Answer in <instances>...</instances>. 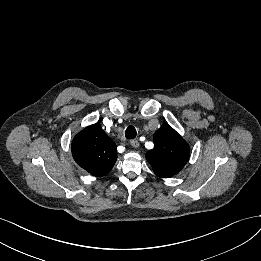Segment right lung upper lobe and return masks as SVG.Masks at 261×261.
<instances>
[{"label": "right lung upper lobe", "instance_id": "right-lung-upper-lobe-1", "mask_svg": "<svg viewBox=\"0 0 261 261\" xmlns=\"http://www.w3.org/2000/svg\"><path fill=\"white\" fill-rule=\"evenodd\" d=\"M72 155L76 163L91 175L108 174L117 160L116 144L95 123L79 132L72 142Z\"/></svg>", "mask_w": 261, "mask_h": 261}]
</instances>
